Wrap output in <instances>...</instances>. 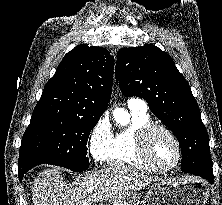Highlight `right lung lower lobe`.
<instances>
[{"label":"right lung lower lobe","mask_w":222,"mask_h":205,"mask_svg":"<svg viewBox=\"0 0 222 205\" xmlns=\"http://www.w3.org/2000/svg\"><path fill=\"white\" fill-rule=\"evenodd\" d=\"M39 165V163H31V164H26V165H19L18 166V176L19 180L22 181L24 173H26L28 170H30L32 167Z\"/></svg>","instance_id":"right-lung-lower-lobe-1"}]
</instances>
